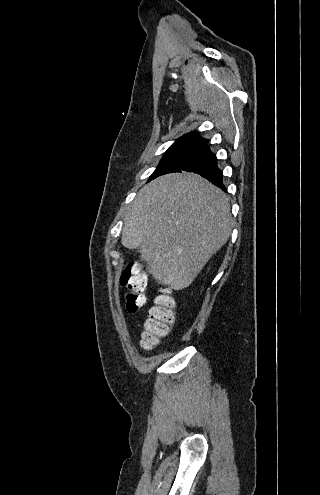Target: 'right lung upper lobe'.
Listing matches in <instances>:
<instances>
[{
  "mask_svg": "<svg viewBox=\"0 0 320 495\" xmlns=\"http://www.w3.org/2000/svg\"><path fill=\"white\" fill-rule=\"evenodd\" d=\"M179 140H195V141H204V142L208 141L207 139L200 137L199 134L196 132H191L186 135H183L182 137L178 138L176 141Z\"/></svg>",
  "mask_w": 320,
  "mask_h": 495,
  "instance_id": "cb5924a9",
  "label": "right lung upper lobe"
}]
</instances>
